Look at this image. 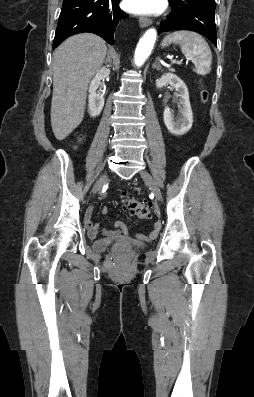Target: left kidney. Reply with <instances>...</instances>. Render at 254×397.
Returning a JSON list of instances; mask_svg holds the SVG:
<instances>
[{
  "mask_svg": "<svg viewBox=\"0 0 254 397\" xmlns=\"http://www.w3.org/2000/svg\"><path fill=\"white\" fill-rule=\"evenodd\" d=\"M167 84L173 86L178 92L181 106L179 107V119L177 120L174 118L173 111L169 107H165L163 113L164 123L169 132L175 136H181L186 134L193 124V113L189 100V92L185 83L172 73H166L159 79H156L157 88H162Z\"/></svg>",
  "mask_w": 254,
  "mask_h": 397,
  "instance_id": "left-kidney-1",
  "label": "left kidney"
}]
</instances>
